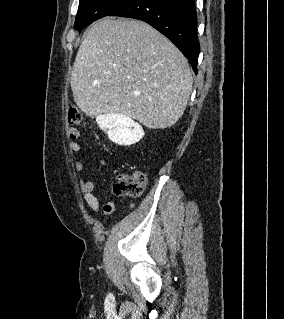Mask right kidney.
<instances>
[{"label": "right kidney", "mask_w": 284, "mask_h": 319, "mask_svg": "<svg viewBox=\"0 0 284 319\" xmlns=\"http://www.w3.org/2000/svg\"><path fill=\"white\" fill-rule=\"evenodd\" d=\"M100 127L109 139L119 145H132L144 136V130L131 117L123 114H107L97 118Z\"/></svg>", "instance_id": "right-kidney-1"}]
</instances>
